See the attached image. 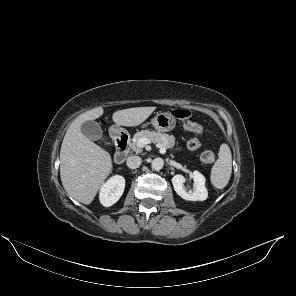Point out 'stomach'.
<instances>
[{
	"instance_id": "stomach-1",
	"label": "stomach",
	"mask_w": 296,
	"mask_h": 296,
	"mask_svg": "<svg viewBox=\"0 0 296 296\" xmlns=\"http://www.w3.org/2000/svg\"><path fill=\"white\" fill-rule=\"evenodd\" d=\"M159 132H169L174 129L176 119L171 113H158L150 122Z\"/></svg>"
}]
</instances>
